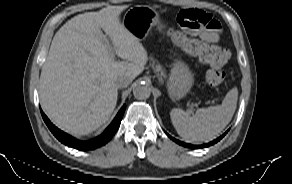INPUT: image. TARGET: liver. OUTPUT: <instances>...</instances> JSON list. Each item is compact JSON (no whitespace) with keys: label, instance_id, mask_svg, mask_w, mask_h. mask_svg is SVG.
Here are the masks:
<instances>
[{"label":"liver","instance_id":"1","mask_svg":"<svg viewBox=\"0 0 292 184\" xmlns=\"http://www.w3.org/2000/svg\"><path fill=\"white\" fill-rule=\"evenodd\" d=\"M126 6L79 14L55 34L42 66L39 96L60 129L86 135L110 118L118 97L116 81L135 79L148 61L146 49L121 24ZM101 28L112 41L108 49ZM114 53L125 61L114 60Z\"/></svg>","mask_w":292,"mask_h":184}]
</instances>
